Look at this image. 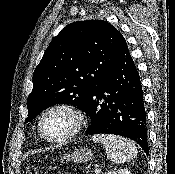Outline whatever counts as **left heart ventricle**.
<instances>
[{
	"mask_svg": "<svg viewBox=\"0 0 175 174\" xmlns=\"http://www.w3.org/2000/svg\"><path fill=\"white\" fill-rule=\"evenodd\" d=\"M74 126V118L66 111H54L46 116L43 122L44 133L57 138L68 133Z\"/></svg>",
	"mask_w": 175,
	"mask_h": 174,
	"instance_id": "1",
	"label": "left heart ventricle"
}]
</instances>
